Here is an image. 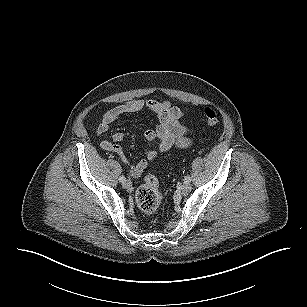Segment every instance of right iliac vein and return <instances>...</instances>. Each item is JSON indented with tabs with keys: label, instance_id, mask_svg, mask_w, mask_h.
<instances>
[{
	"label": "right iliac vein",
	"instance_id": "right-iliac-vein-1",
	"mask_svg": "<svg viewBox=\"0 0 307 307\" xmlns=\"http://www.w3.org/2000/svg\"><path fill=\"white\" fill-rule=\"evenodd\" d=\"M122 185L124 188L129 189L132 186V183L129 180H125Z\"/></svg>",
	"mask_w": 307,
	"mask_h": 307
}]
</instances>
